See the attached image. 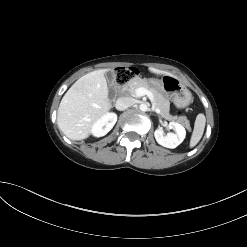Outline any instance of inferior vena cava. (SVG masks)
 <instances>
[{
	"label": "inferior vena cava",
	"mask_w": 247,
	"mask_h": 247,
	"mask_svg": "<svg viewBox=\"0 0 247 247\" xmlns=\"http://www.w3.org/2000/svg\"><path fill=\"white\" fill-rule=\"evenodd\" d=\"M134 104V99L131 97H120L116 100L115 107L117 110H125Z\"/></svg>",
	"instance_id": "obj_1"
}]
</instances>
